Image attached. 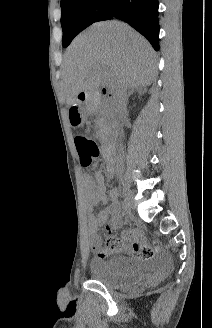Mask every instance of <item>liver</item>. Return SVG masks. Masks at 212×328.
<instances>
[{"instance_id":"obj_1","label":"liver","mask_w":212,"mask_h":328,"mask_svg":"<svg viewBox=\"0 0 212 328\" xmlns=\"http://www.w3.org/2000/svg\"><path fill=\"white\" fill-rule=\"evenodd\" d=\"M103 66L110 69L106 84L114 91L121 86H149L157 75L154 51L144 37L118 21L95 23L78 35L65 53L67 104H73L78 94L99 88Z\"/></svg>"}]
</instances>
